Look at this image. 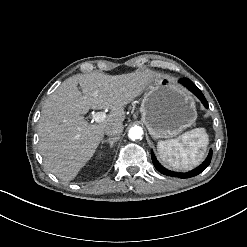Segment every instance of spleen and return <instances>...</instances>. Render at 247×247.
<instances>
[{"instance_id": "3e777b00", "label": "spleen", "mask_w": 247, "mask_h": 247, "mask_svg": "<svg viewBox=\"0 0 247 247\" xmlns=\"http://www.w3.org/2000/svg\"><path fill=\"white\" fill-rule=\"evenodd\" d=\"M210 144L206 128L193 129L175 140L159 141L157 152L161 160L178 170L190 171L199 166ZM176 145V150L168 147Z\"/></svg>"}]
</instances>
